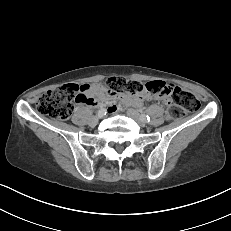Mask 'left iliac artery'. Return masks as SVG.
Listing matches in <instances>:
<instances>
[{"label": "left iliac artery", "mask_w": 231, "mask_h": 231, "mask_svg": "<svg viewBox=\"0 0 231 231\" xmlns=\"http://www.w3.org/2000/svg\"><path fill=\"white\" fill-rule=\"evenodd\" d=\"M142 116L146 121H148V122L150 121V117L148 115H142Z\"/></svg>", "instance_id": "left-iliac-artery-1"}]
</instances>
